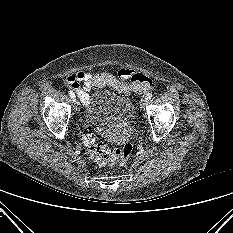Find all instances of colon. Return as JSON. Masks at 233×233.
I'll return each mask as SVG.
<instances>
[{
	"label": "colon",
	"mask_w": 233,
	"mask_h": 233,
	"mask_svg": "<svg viewBox=\"0 0 233 233\" xmlns=\"http://www.w3.org/2000/svg\"><path fill=\"white\" fill-rule=\"evenodd\" d=\"M91 88L110 86L126 95L131 90L145 92L151 87V79L142 73H135L128 85L109 73H95L91 77ZM84 142L87 153L96 165L124 166L132 152V145L127 143L122 147L108 149L103 143L96 140L91 130L87 129L84 134Z\"/></svg>",
	"instance_id": "obj_1"
}]
</instances>
